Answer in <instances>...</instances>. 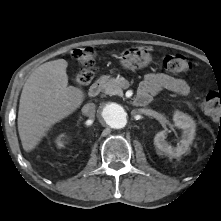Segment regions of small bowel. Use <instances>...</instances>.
<instances>
[{
	"mask_svg": "<svg viewBox=\"0 0 221 221\" xmlns=\"http://www.w3.org/2000/svg\"><path fill=\"white\" fill-rule=\"evenodd\" d=\"M166 89L181 95H187L191 91L190 85L183 79L165 73H149L140 85V93L149 96Z\"/></svg>",
	"mask_w": 221,
	"mask_h": 221,
	"instance_id": "obj_1",
	"label": "small bowel"
}]
</instances>
